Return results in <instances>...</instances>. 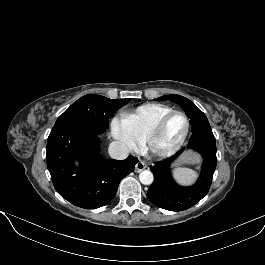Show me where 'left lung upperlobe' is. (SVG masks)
I'll return each instance as SVG.
<instances>
[{"label":"left lung upper lobe","mask_w":265,"mask_h":265,"mask_svg":"<svg viewBox=\"0 0 265 265\" xmlns=\"http://www.w3.org/2000/svg\"><path fill=\"white\" fill-rule=\"evenodd\" d=\"M167 99L179 104L182 107L190 118L192 130L200 126L210 125L205 114L189 99L180 95H166L158 98L157 100Z\"/></svg>","instance_id":"obj_1"}]
</instances>
